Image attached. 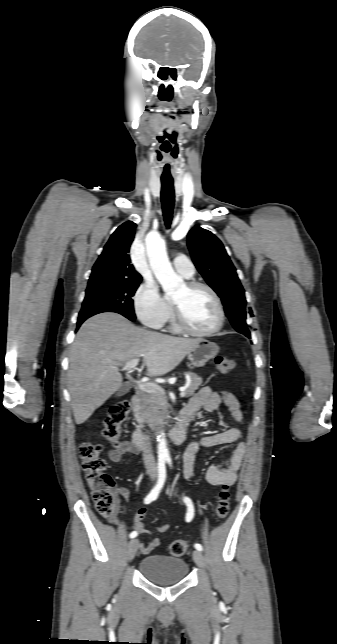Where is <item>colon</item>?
<instances>
[{
  "label": "colon",
  "mask_w": 337,
  "mask_h": 644,
  "mask_svg": "<svg viewBox=\"0 0 337 644\" xmlns=\"http://www.w3.org/2000/svg\"><path fill=\"white\" fill-rule=\"evenodd\" d=\"M216 366L222 374H227L235 368V361L227 356H217ZM130 412V404L123 400L110 407L105 419L103 436L114 447L120 445L122 427ZM101 446L90 442H84L79 446L78 454L82 461L83 471L87 484L90 487L92 500L97 511L105 518L114 516L116 499L114 481L105 472L106 462L101 456ZM230 508L229 486L223 484L218 494L215 508V516L219 520L227 517ZM188 543L179 539L169 545L171 556L180 557L186 553Z\"/></svg>",
  "instance_id": "5ec220e1"
}]
</instances>
